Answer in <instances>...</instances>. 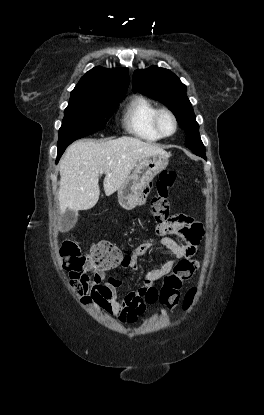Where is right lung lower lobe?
<instances>
[{"instance_id":"98d812e1","label":"right lung lower lobe","mask_w":264,"mask_h":415,"mask_svg":"<svg viewBox=\"0 0 264 415\" xmlns=\"http://www.w3.org/2000/svg\"><path fill=\"white\" fill-rule=\"evenodd\" d=\"M65 149L66 148H63V149L58 150V156H57L56 162H58L59 158L61 157V155L63 154V152H64Z\"/></svg>"}]
</instances>
